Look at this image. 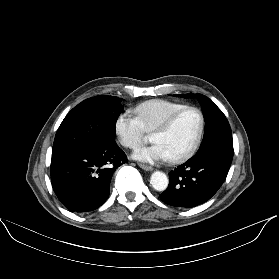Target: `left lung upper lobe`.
<instances>
[{"mask_svg": "<svg viewBox=\"0 0 279 279\" xmlns=\"http://www.w3.org/2000/svg\"><path fill=\"white\" fill-rule=\"evenodd\" d=\"M177 96L187 98L192 97L193 94ZM196 97L202 106L205 118L204 137L196 155L207 150H219L233 156L232 132L225 115L208 97L198 93Z\"/></svg>", "mask_w": 279, "mask_h": 279, "instance_id": "obj_1", "label": "left lung upper lobe"}]
</instances>
